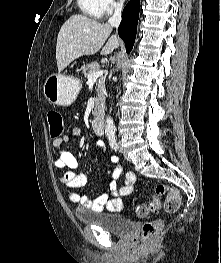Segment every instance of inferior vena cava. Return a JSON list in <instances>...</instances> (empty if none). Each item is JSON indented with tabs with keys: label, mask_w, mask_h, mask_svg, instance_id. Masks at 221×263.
<instances>
[{
	"label": "inferior vena cava",
	"mask_w": 221,
	"mask_h": 263,
	"mask_svg": "<svg viewBox=\"0 0 221 263\" xmlns=\"http://www.w3.org/2000/svg\"><path fill=\"white\" fill-rule=\"evenodd\" d=\"M123 8V1L121 0L115 6L114 14L109 18L108 25L111 27H118L121 22V13Z\"/></svg>",
	"instance_id": "602c4592"
}]
</instances>
